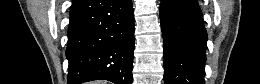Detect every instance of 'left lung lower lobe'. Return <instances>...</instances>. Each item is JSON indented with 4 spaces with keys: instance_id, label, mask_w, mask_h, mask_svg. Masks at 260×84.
<instances>
[{
    "instance_id": "0a47b994",
    "label": "left lung lower lobe",
    "mask_w": 260,
    "mask_h": 84,
    "mask_svg": "<svg viewBox=\"0 0 260 84\" xmlns=\"http://www.w3.org/2000/svg\"><path fill=\"white\" fill-rule=\"evenodd\" d=\"M165 84H204L207 33L197 0H161Z\"/></svg>"
}]
</instances>
